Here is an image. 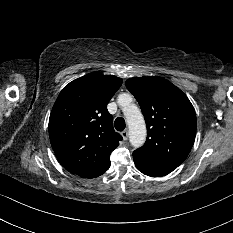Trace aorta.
Returning <instances> with one entry per match:
<instances>
[{"mask_svg": "<svg viewBox=\"0 0 233 233\" xmlns=\"http://www.w3.org/2000/svg\"><path fill=\"white\" fill-rule=\"evenodd\" d=\"M132 98L129 94H121L118 104L123 107V112L129 127V141L135 148L141 147L146 140V125L139 108L130 104Z\"/></svg>", "mask_w": 233, "mask_h": 233, "instance_id": "obj_1", "label": "aorta"}]
</instances>
